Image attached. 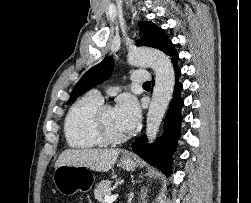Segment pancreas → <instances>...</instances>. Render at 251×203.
Returning <instances> with one entry per match:
<instances>
[{"label": "pancreas", "mask_w": 251, "mask_h": 203, "mask_svg": "<svg viewBox=\"0 0 251 203\" xmlns=\"http://www.w3.org/2000/svg\"><path fill=\"white\" fill-rule=\"evenodd\" d=\"M111 182L109 180H102L94 189L95 198L103 203V197L111 194Z\"/></svg>", "instance_id": "cf45deb5"}]
</instances>
